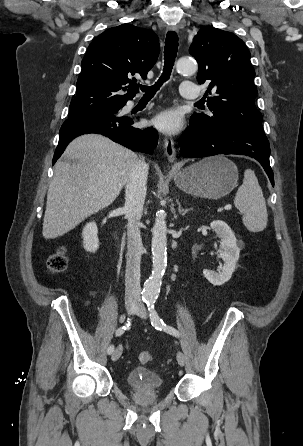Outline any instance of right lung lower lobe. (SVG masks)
<instances>
[{
    "mask_svg": "<svg viewBox=\"0 0 303 446\" xmlns=\"http://www.w3.org/2000/svg\"><path fill=\"white\" fill-rule=\"evenodd\" d=\"M133 123L132 116H120L118 112L108 111H89L68 117L61 126L52 163L57 161L70 141L87 133L101 134L133 151L152 154L158 143L157 132L149 128H134Z\"/></svg>",
    "mask_w": 303,
    "mask_h": 446,
    "instance_id": "right-lung-lower-lobe-1",
    "label": "right lung lower lobe"
}]
</instances>
